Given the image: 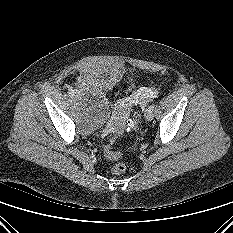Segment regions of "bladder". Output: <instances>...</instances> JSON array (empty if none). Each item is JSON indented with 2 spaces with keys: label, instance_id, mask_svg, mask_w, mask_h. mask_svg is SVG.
<instances>
[{
  "label": "bladder",
  "instance_id": "1",
  "mask_svg": "<svg viewBox=\"0 0 233 233\" xmlns=\"http://www.w3.org/2000/svg\"><path fill=\"white\" fill-rule=\"evenodd\" d=\"M122 71L103 64H87L78 74L75 89L82 129L91 133L105 124L109 117L106 92L120 81Z\"/></svg>",
  "mask_w": 233,
  "mask_h": 233
}]
</instances>
